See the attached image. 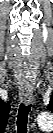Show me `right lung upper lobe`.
<instances>
[{"label":"right lung upper lobe","mask_w":53,"mask_h":133,"mask_svg":"<svg viewBox=\"0 0 53 133\" xmlns=\"http://www.w3.org/2000/svg\"><path fill=\"white\" fill-rule=\"evenodd\" d=\"M9 110H10L9 102L5 103L2 100H0V123L3 126V129L5 128L8 121Z\"/></svg>","instance_id":"1"}]
</instances>
